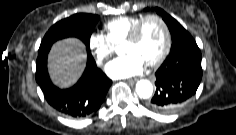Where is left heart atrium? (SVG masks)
<instances>
[{"instance_id": "obj_1", "label": "left heart atrium", "mask_w": 236, "mask_h": 135, "mask_svg": "<svg viewBox=\"0 0 236 135\" xmlns=\"http://www.w3.org/2000/svg\"><path fill=\"white\" fill-rule=\"evenodd\" d=\"M145 61L135 53L116 58L106 66V73L114 79L129 78L140 74L145 68Z\"/></svg>"}]
</instances>
